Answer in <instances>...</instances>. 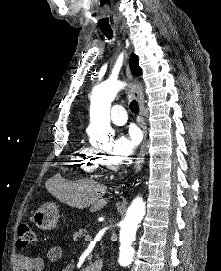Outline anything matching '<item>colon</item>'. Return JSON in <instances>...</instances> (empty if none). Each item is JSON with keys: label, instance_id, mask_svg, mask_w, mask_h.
I'll use <instances>...</instances> for the list:
<instances>
[{"label": "colon", "instance_id": "obj_1", "mask_svg": "<svg viewBox=\"0 0 221 271\" xmlns=\"http://www.w3.org/2000/svg\"><path fill=\"white\" fill-rule=\"evenodd\" d=\"M37 242L38 238L34 228L27 223H20L16 239V250L24 253L30 247L36 245Z\"/></svg>", "mask_w": 221, "mask_h": 271}]
</instances>
